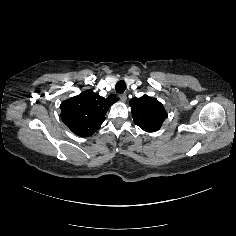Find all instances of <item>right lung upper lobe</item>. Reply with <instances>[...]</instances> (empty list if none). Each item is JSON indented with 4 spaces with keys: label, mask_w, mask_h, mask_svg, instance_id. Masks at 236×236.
I'll use <instances>...</instances> for the list:
<instances>
[{
    "label": "right lung upper lobe",
    "mask_w": 236,
    "mask_h": 236,
    "mask_svg": "<svg viewBox=\"0 0 236 236\" xmlns=\"http://www.w3.org/2000/svg\"><path fill=\"white\" fill-rule=\"evenodd\" d=\"M117 101L115 95L104 98L87 90L61 104V118L74 134L88 137L100 128L107 110Z\"/></svg>",
    "instance_id": "1"
}]
</instances>
